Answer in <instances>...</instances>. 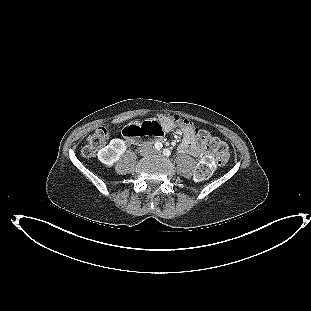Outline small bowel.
Instances as JSON below:
<instances>
[{
  "mask_svg": "<svg viewBox=\"0 0 311 311\" xmlns=\"http://www.w3.org/2000/svg\"><path fill=\"white\" fill-rule=\"evenodd\" d=\"M161 128L163 130H172L176 127L174 120L170 117L162 116L159 118ZM183 141L179 145V152L183 154H189L192 156H199L200 150L195 142V135L191 126L182 127Z\"/></svg>",
  "mask_w": 311,
  "mask_h": 311,
  "instance_id": "obj_1",
  "label": "small bowel"
}]
</instances>
